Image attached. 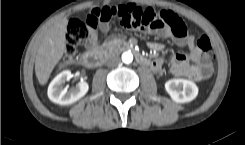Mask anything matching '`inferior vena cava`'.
I'll use <instances>...</instances> for the list:
<instances>
[{"instance_id": "obj_1", "label": "inferior vena cava", "mask_w": 245, "mask_h": 145, "mask_svg": "<svg viewBox=\"0 0 245 145\" xmlns=\"http://www.w3.org/2000/svg\"><path fill=\"white\" fill-rule=\"evenodd\" d=\"M118 63H119L118 57L112 58L109 62V64H111V65H117Z\"/></svg>"}]
</instances>
